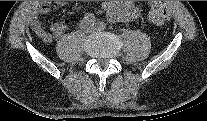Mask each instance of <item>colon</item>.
Returning <instances> with one entry per match:
<instances>
[{
    "mask_svg": "<svg viewBox=\"0 0 207 121\" xmlns=\"http://www.w3.org/2000/svg\"><path fill=\"white\" fill-rule=\"evenodd\" d=\"M148 18L156 25H164L170 19V9L166 2L153 1L149 4Z\"/></svg>",
    "mask_w": 207,
    "mask_h": 121,
    "instance_id": "colon-1",
    "label": "colon"
}]
</instances>
